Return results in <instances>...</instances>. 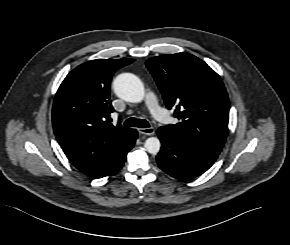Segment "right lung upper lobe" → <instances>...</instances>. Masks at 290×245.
Instances as JSON below:
<instances>
[{
    "mask_svg": "<svg viewBox=\"0 0 290 245\" xmlns=\"http://www.w3.org/2000/svg\"><path fill=\"white\" fill-rule=\"evenodd\" d=\"M134 59H96L72 70L60 85L52 122L57 141L71 163L85 175L100 178L132 148L135 129L113 126L110 84L113 74Z\"/></svg>",
    "mask_w": 290,
    "mask_h": 245,
    "instance_id": "obj_1",
    "label": "right lung upper lobe"
}]
</instances>
